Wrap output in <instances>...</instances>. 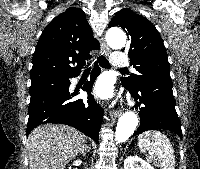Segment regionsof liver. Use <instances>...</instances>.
I'll return each instance as SVG.
<instances>
[{
  "instance_id": "6515ba94",
  "label": "liver",
  "mask_w": 200,
  "mask_h": 169,
  "mask_svg": "<svg viewBox=\"0 0 200 169\" xmlns=\"http://www.w3.org/2000/svg\"><path fill=\"white\" fill-rule=\"evenodd\" d=\"M86 137L66 125L44 124L27 139L30 169H64L82 149Z\"/></svg>"
}]
</instances>
